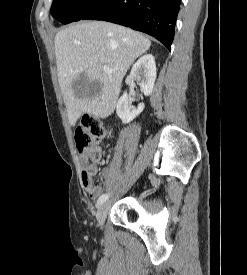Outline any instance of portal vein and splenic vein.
<instances>
[{
    "label": "portal vein and splenic vein",
    "instance_id": "1",
    "mask_svg": "<svg viewBox=\"0 0 247 275\" xmlns=\"http://www.w3.org/2000/svg\"><path fill=\"white\" fill-rule=\"evenodd\" d=\"M102 69H103V71L104 72H107V73H109V72H112L113 70L112 69H110L109 67H107V66H103L102 67Z\"/></svg>",
    "mask_w": 247,
    "mask_h": 275
}]
</instances>
